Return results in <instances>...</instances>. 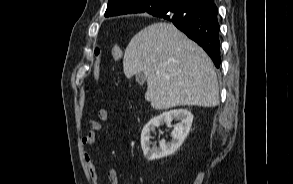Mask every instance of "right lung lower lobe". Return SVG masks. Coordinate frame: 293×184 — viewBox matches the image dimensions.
<instances>
[{"instance_id":"98d812e1","label":"right lung lower lobe","mask_w":293,"mask_h":184,"mask_svg":"<svg viewBox=\"0 0 293 184\" xmlns=\"http://www.w3.org/2000/svg\"><path fill=\"white\" fill-rule=\"evenodd\" d=\"M218 9L214 3L199 5L198 2L183 0L175 7L157 15L172 22L190 39L197 42L220 67V42Z\"/></svg>"}]
</instances>
